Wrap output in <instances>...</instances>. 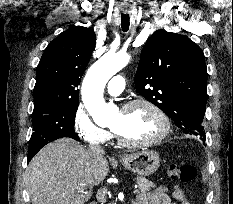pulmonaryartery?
Listing matches in <instances>:
<instances>
[{"instance_id": "pulmonary-artery-1", "label": "pulmonary artery", "mask_w": 233, "mask_h": 204, "mask_svg": "<svg viewBox=\"0 0 233 204\" xmlns=\"http://www.w3.org/2000/svg\"><path fill=\"white\" fill-rule=\"evenodd\" d=\"M125 87L124 77L116 75L110 79L107 84V91L110 95L117 96L121 94Z\"/></svg>"}]
</instances>
